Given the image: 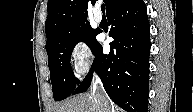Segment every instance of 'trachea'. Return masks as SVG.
Masks as SVG:
<instances>
[{
	"mask_svg": "<svg viewBox=\"0 0 193 112\" xmlns=\"http://www.w3.org/2000/svg\"><path fill=\"white\" fill-rule=\"evenodd\" d=\"M101 10L103 13L105 12V5L104 4L101 5Z\"/></svg>",
	"mask_w": 193,
	"mask_h": 112,
	"instance_id": "trachea-1",
	"label": "trachea"
}]
</instances>
